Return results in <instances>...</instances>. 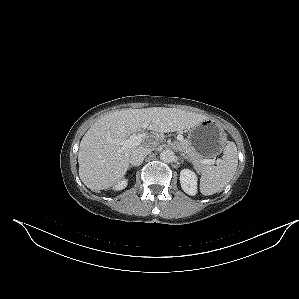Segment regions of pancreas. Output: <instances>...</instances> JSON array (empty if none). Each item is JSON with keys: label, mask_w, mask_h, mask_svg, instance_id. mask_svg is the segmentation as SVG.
<instances>
[{"label": "pancreas", "mask_w": 299, "mask_h": 299, "mask_svg": "<svg viewBox=\"0 0 299 299\" xmlns=\"http://www.w3.org/2000/svg\"><path fill=\"white\" fill-rule=\"evenodd\" d=\"M179 144L188 160L193 163L194 167L198 171L203 170L205 168V165L202 164L203 157L190 145L188 140H182Z\"/></svg>", "instance_id": "1"}]
</instances>
